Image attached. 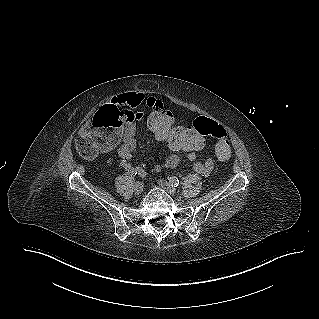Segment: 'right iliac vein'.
<instances>
[{"instance_id":"1","label":"right iliac vein","mask_w":319,"mask_h":319,"mask_svg":"<svg viewBox=\"0 0 319 319\" xmlns=\"http://www.w3.org/2000/svg\"><path fill=\"white\" fill-rule=\"evenodd\" d=\"M143 191V184L141 182H136L134 184V192L135 194H141Z\"/></svg>"}]
</instances>
